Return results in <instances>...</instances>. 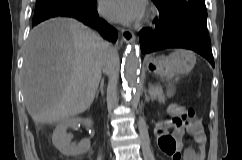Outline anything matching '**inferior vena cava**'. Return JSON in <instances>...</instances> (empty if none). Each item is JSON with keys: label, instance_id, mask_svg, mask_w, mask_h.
Wrapping results in <instances>:
<instances>
[{"label": "inferior vena cava", "instance_id": "602c4592", "mask_svg": "<svg viewBox=\"0 0 242 160\" xmlns=\"http://www.w3.org/2000/svg\"><path fill=\"white\" fill-rule=\"evenodd\" d=\"M109 60L106 63V68H99V73H117L118 69L117 68H113V63H116V61L118 60V52L116 51V47H109Z\"/></svg>", "mask_w": 242, "mask_h": 160}]
</instances>
